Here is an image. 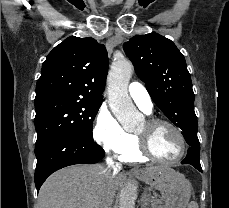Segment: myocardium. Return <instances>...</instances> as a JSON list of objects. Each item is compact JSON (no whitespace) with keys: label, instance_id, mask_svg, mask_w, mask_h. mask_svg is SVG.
Wrapping results in <instances>:
<instances>
[{"label":"myocardium","instance_id":"1","mask_svg":"<svg viewBox=\"0 0 229 208\" xmlns=\"http://www.w3.org/2000/svg\"><path fill=\"white\" fill-rule=\"evenodd\" d=\"M146 124L150 128H156L159 126H167V127L172 128L173 130H170L169 134L173 135L172 137L173 139H175L174 140L175 143H178V147H185V150L179 157L174 158L172 160H159L158 157H153V152H149L148 139H152L151 135L149 134L142 135L138 133L137 135L141 141L138 143V148H140V153H143V158H150L155 162L163 163V164H174L184 159V157L188 154L191 148V143L187 135L184 133V131L180 127H178L177 125H175L174 123L170 121L162 120L158 118H150L146 121Z\"/></svg>","mask_w":229,"mask_h":208}]
</instances>
